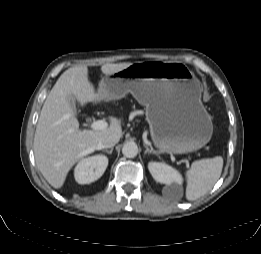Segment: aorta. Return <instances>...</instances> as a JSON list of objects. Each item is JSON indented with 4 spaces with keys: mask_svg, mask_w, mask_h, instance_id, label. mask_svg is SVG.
<instances>
[{
    "mask_svg": "<svg viewBox=\"0 0 261 254\" xmlns=\"http://www.w3.org/2000/svg\"><path fill=\"white\" fill-rule=\"evenodd\" d=\"M122 153L127 158H134L138 154V146L135 142H127L122 148Z\"/></svg>",
    "mask_w": 261,
    "mask_h": 254,
    "instance_id": "obj_1",
    "label": "aorta"
}]
</instances>
